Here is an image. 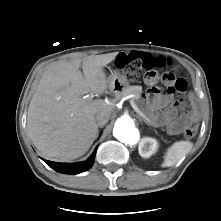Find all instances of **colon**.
Wrapping results in <instances>:
<instances>
[{
	"instance_id": "obj_1",
	"label": "colon",
	"mask_w": 221,
	"mask_h": 221,
	"mask_svg": "<svg viewBox=\"0 0 221 221\" xmlns=\"http://www.w3.org/2000/svg\"><path fill=\"white\" fill-rule=\"evenodd\" d=\"M167 60L163 56L150 57L146 54L133 56L131 54H119L116 58V67L130 80H137L143 77H152L155 74V68L165 66ZM163 82L167 87V91L171 94L183 93L188 87L185 77L176 75L172 72L163 74ZM197 125L192 124L185 128L184 136L191 139L197 133Z\"/></svg>"
}]
</instances>
